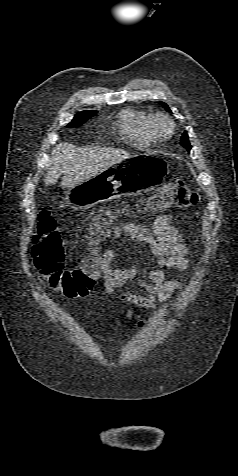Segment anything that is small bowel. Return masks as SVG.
Wrapping results in <instances>:
<instances>
[{"label": "small bowel", "instance_id": "c3829d8e", "mask_svg": "<svg viewBox=\"0 0 238 476\" xmlns=\"http://www.w3.org/2000/svg\"><path fill=\"white\" fill-rule=\"evenodd\" d=\"M103 236L129 238L134 244H146L158 265L157 268L150 269L146 277H139L138 264L128 269H116L113 266L112 261L118 252L116 247L108 249L103 255L87 252L83 257V264H92L99 269L106 295L127 285L136 286L137 293L124 292L120 298L143 308L154 309L157 303L166 301L173 293L184 288L182 282L165 278L166 270H189V247L183 242L180 230L170 223L169 216L157 217L151 226L129 220L121 221L106 228ZM91 291L92 289L65 295L76 299L88 296Z\"/></svg>", "mask_w": 238, "mask_h": 476}]
</instances>
